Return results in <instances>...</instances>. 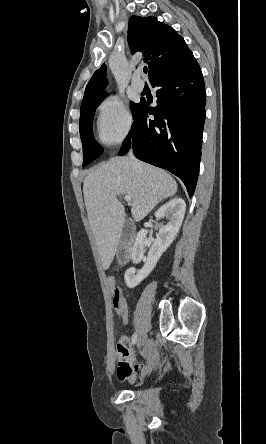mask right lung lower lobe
Masks as SVG:
<instances>
[{"mask_svg": "<svg viewBox=\"0 0 266 444\" xmlns=\"http://www.w3.org/2000/svg\"><path fill=\"white\" fill-rule=\"evenodd\" d=\"M157 106L142 101L129 135L118 155L130 148L136 158L178 176L191 197L194 193L202 146L206 94L201 69L195 58L155 76ZM149 114L155 119L149 120Z\"/></svg>", "mask_w": 266, "mask_h": 444, "instance_id": "right-lung-lower-lobe-1", "label": "right lung lower lobe"}]
</instances>
